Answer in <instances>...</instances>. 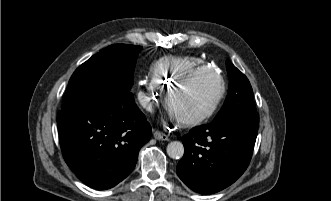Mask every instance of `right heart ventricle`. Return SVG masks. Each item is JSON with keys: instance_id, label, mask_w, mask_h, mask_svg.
<instances>
[{"instance_id": "right-heart-ventricle-1", "label": "right heart ventricle", "mask_w": 331, "mask_h": 201, "mask_svg": "<svg viewBox=\"0 0 331 201\" xmlns=\"http://www.w3.org/2000/svg\"><path fill=\"white\" fill-rule=\"evenodd\" d=\"M203 66L197 57H164L153 65L151 75L155 83L170 88L179 77Z\"/></svg>"}]
</instances>
